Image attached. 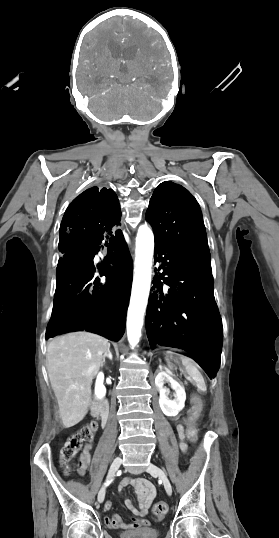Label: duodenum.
<instances>
[{
    "mask_svg": "<svg viewBox=\"0 0 279 538\" xmlns=\"http://www.w3.org/2000/svg\"><path fill=\"white\" fill-rule=\"evenodd\" d=\"M109 406V401L103 400V396H97V398H93V402H91L89 409L92 413V417L94 419H97L99 417V414H101L100 422L98 423V428L105 429L107 427L108 422V410L105 408Z\"/></svg>",
    "mask_w": 279,
    "mask_h": 538,
    "instance_id": "obj_1",
    "label": "duodenum"
}]
</instances>
